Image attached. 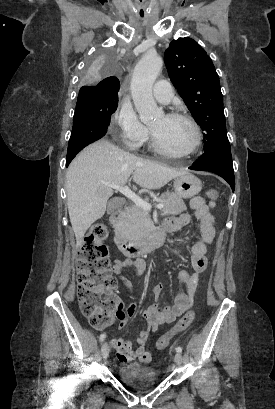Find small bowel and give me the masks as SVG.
<instances>
[{
  "label": "small bowel",
  "instance_id": "obj_1",
  "mask_svg": "<svg viewBox=\"0 0 275 409\" xmlns=\"http://www.w3.org/2000/svg\"><path fill=\"white\" fill-rule=\"evenodd\" d=\"M190 206L195 213V217L198 221L201 236L196 240L191 247V263L193 271L180 270L178 277L183 284V288L176 294L172 305L160 306L157 303L149 305L143 312V318L147 325L144 326L140 336L135 338L125 337H111L110 345L113 351H116L115 357L117 360H143L145 366L152 364V353L150 351H144L145 338L148 334H152L153 330L158 325L163 323L173 322L178 316L183 314L192 304L193 300L197 297V286L199 282V274L202 273L207 267V252L208 246L212 243L215 234V219L211 213V209L214 207L212 202H208L201 196L194 197ZM190 222L189 215H181L175 220H169L166 224L167 228L180 229ZM176 224V226H174ZM130 267L136 273H142L145 269L143 261H118L114 266V274L120 275L121 269ZM121 284L127 288L132 298L137 297V292L133 285L126 277L119 279ZM163 285L157 284L153 289L155 299H158L163 292ZM116 312V319L118 320L119 328H126L127 321H132V316L136 314L137 306L135 304L130 305L125 310L124 302L118 301ZM127 315V320L123 319ZM133 344L139 346L134 351L132 349Z\"/></svg>",
  "mask_w": 275,
  "mask_h": 409
}]
</instances>
